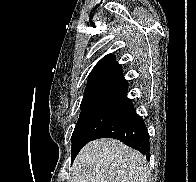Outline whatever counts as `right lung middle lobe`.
I'll use <instances>...</instances> for the list:
<instances>
[{"instance_id": "dd1d6c3e", "label": "right lung middle lobe", "mask_w": 196, "mask_h": 182, "mask_svg": "<svg viewBox=\"0 0 196 182\" xmlns=\"http://www.w3.org/2000/svg\"><path fill=\"white\" fill-rule=\"evenodd\" d=\"M134 110L130 105L99 103L81 107V113L72 134L71 159L75 158L83 146L104 128L118 121Z\"/></svg>"}]
</instances>
